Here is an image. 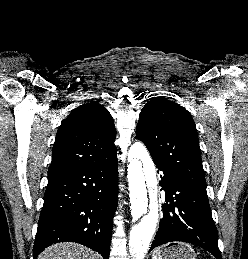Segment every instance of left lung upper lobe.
<instances>
[{"label": "left lung upper lobe", "mask_w": 248, "mask_h": 259, "mask_svg": "<svg viewBox=\"0 0 248 259\" xmlns=\"http://www.w3.org/2000/svg\"><path fill=\"white\" fill-rule=\"evenodd\" d=\"M136 136L154 162L188 185L206 190L198 133L184 107L162 97L151 99L140 113Z\"/></svg>", "instance_id": "left-lung-upper-lobe-1"}]
</instances>
